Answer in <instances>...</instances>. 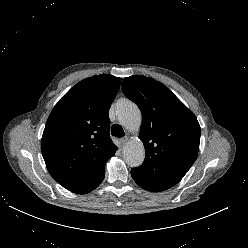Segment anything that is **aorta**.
Returning <instances> with one entry per match:
<instances>
[{"mask_svg":"<svg viewBox=\"0 0 248 248\" xmlns=\"http://www.w3.org/2000/svg\"><path fill=\"white\" fill-rule=\"evenodd\" d=\"M117 115L120 124L125 129L131 132L139 130L142 116L135 103L129 100L121 101L117 109ZM123 157L129 166H140L145 159V149L142 141L139 139L129 141L123 148Z\"/></svg>","mask_w":248,"mask_h":248,"instance_id":"obj_1","label":"aorta"}]
</instances>
